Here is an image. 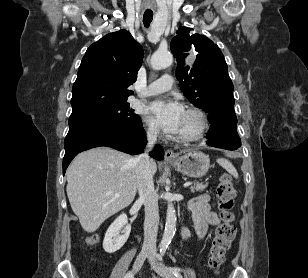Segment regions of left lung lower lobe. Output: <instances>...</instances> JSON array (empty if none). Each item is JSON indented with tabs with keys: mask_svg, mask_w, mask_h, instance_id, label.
Wrapping results in <instances>:
<instances>
[{
	"mask_svg": "<svg viewBox=\"0 0 308 278\" xmlns=\"http://www.w3.org/2000/svg\"><path fill=\"white\" fill-rule=\"evenodd\" d=\"M208 113L211 128L207 133L206 144L227 150H235L240 147L241 140L236 130L237 117L234 107L222 105Z\"/></svg>",
	"mask_w": 308,
	"mask_h": 278,
	"instance_id": "obj_1",
	"label": "left lung lower lobe"
}]
</instances>
